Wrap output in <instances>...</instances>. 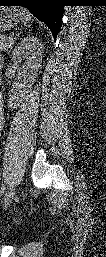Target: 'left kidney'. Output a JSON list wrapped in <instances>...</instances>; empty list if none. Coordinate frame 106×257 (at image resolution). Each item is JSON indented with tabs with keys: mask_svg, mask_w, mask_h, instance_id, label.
Wrapping results in <instances>:
<instances>
[{
	"mask_svg": "<svg viewBox=\"0 0 106 257\" xmlns=\"http://www.w3.org/2000/svg\"><path fill=\"white\" fill-rule=\"evenodd\" d=\"M43 44L37 37H26L18 43L12 52V60L15 65H22V72L19 74L25 79V83L34 81L42 62ZM29 85V84H27ZM12 103V99H10ZM12 106V104H10Z\"/></svg>",
	"mask_w": 106,
	"mask_h": 257,
	"instance_id": "obj_1",
	"label": "left kidney"
}]
</instances>
